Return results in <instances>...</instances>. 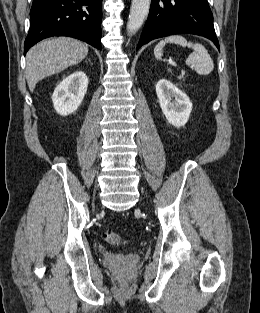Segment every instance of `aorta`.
Wrapping results in <instances>:
<instances>
[{
    "instance_id": "1",
    "label": "aorta",
    "mask_w": 260,
    "mask_h": 313,
    "mask_svg": "<svg viewBox=\"0 0 260 313\" xmlns=\"http://www.w3.org/2000/svg\"><path fill=\"white\" fill-rule=\"evenodd\" d=\"M151 0H132L127 23L128 35L135 34L148 15Z\"/></svg>"
}]
</instances>
